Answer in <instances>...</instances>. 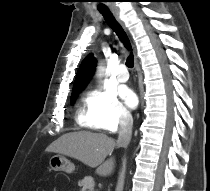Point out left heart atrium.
Masks as SVG:
<instances>
[{
	"mask_svg": "<svg viewBox=\"0 0 210 191\" xmlns=\"http://www.w3.org/2000/svg\"><path fill=\"white\" fill-rule=\"evenodd\" d=\"M120 95L128 107L134 108L137 105V95L130 88L122 87Z\"/></svg>",
	"mask_w": 210,
	"mask_h": 191,
	"instance_id": "left-heart-atrium-1",
	"label": "left heart atrium"
}]
</instances>
